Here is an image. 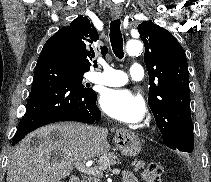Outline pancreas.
I'll return each mask as SVG.
<instances>
[{
	"instance_id": "cf45deb5",
	"label": "pancreas",
	"mask_w": 211,
	"mask_h": 182,
	"mask_svg": "<svg viewBox=\"0 0 211 182\" xmlns=\"http://www.w3.org/2000/svg\"><path fill=\"white\" fill-rule=\"evenodd\" d=\"M119 163V156L117 153L109 152L103 154L99 159V165L94 168L95 172L91 173L84 182H100L103 177V171L109 168L111 165ZM134 171L137 172L140 168H144V163L141 161H134L132 163Z\"/></svg>"
}]
</instances>
